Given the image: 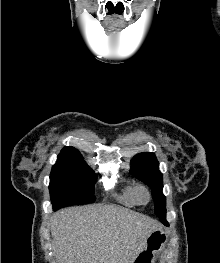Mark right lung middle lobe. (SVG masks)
<instances>
[{
    "label": "right lung middle lobe",
    "instance_id": "1",
    "mask_svg": "<svg viewBox=\"0 0 220 263\" xmlns=\"http://www.w3.org/2000/svg\"><path fill=\"white\" fill-rule=\"evenodd\" d=\"M96 179L97 175L83 161L81 154H59L49 185L54 209L94 202Z\"/></svg>",
    "mask_w": 220,
    "mask_h": 263
}]
</instances>
